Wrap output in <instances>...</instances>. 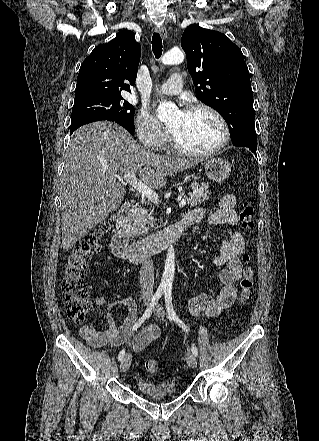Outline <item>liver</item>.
<instances>
[{
	"instance_id": "6515ba94",
	"label": "liver",
	"mask_w": 319,
	"mask_h": 441,
	"mask_svg": "<svg viewBox=\"0 0 319 441\" xmlns=\"http://www.w3.org/2000/svg\"><path fill=\"white\" fill-rule=\"evenodd\" d=\"M197 160L165 157L141 147L120 125L97 121L71 136L60 181L62 247L70 250L124 200L118 172H137L148 187L158 189L166 177Z\"/></svg>"
}]
</instances>
